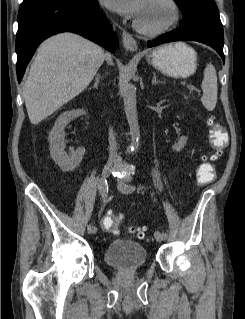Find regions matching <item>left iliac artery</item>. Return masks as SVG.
Returning <instances> with one entry per match:
<instances>
[{"label": "left iliac artery", "instance_id": "obj_1", "mask_svg": "<svg viewBox=\"0 0 245 319\" xmlns=\"http://www.w3.org/2000/svg\"><path fill=\"white\" fill-rule=\"evenodd\" d=\"M140 187H141V186H138L137 188L139 189ZM124 189L127 190V191H133V190L135 189V186L125 184V185H124ZM161 234H162V236H163L164 238L167 237V234H166L165 232H162Z\"/></svg>", "mask_w": 245, "mask_h": 319}]
</instances>
